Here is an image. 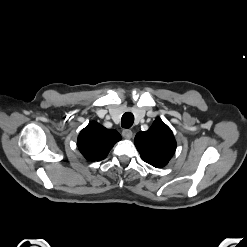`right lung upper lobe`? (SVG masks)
Returning <instances> with one entry per match:
<instances>
[{"label":"right lung upper lobe","mask_w":247,"mask_h":247,"mask_svg":"<svg viewBox=\"0 0 247 247\" xmlns=\"http://www.w3.org/2000/svg\"><path fill=\"white\" fill-rule=\"evenodd\" d=\"M121 135L112 129H106L97 122H91L79 134L77 146L82 155L89 161L104 159Z\"/></svg>","instance_id":"right-lung-upper-lobe-1"}]
</instances>
